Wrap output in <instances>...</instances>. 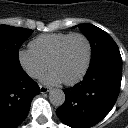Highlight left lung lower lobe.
<instances>
[{"label": "left lung lower lobe", "mask_w": 128, "mask_h": 128, "mask_svg": "<svg viewBox=\"0 0 128 128\" xmlns=\"http://www.w3.org/2000/svg\"><path fill=\"white\" fill-rule=\"evenodd\" d=\"M122 58L120 53L105 54L94 61L83 81L64 90V104L58 117L71 128H89L113 108L120 92Z\"/></svg>", "instance_id": "left-lung-lower-lobe-1"}]
</instances>
